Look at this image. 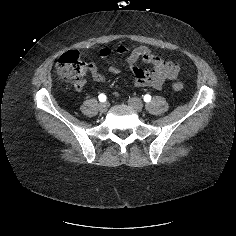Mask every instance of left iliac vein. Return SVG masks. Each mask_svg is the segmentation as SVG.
Masks as SVG:
<instances>
[{"label":"left iliac vein","instance_id":"obj_1","mask_svg":"<svg viewBox=\"0 0 236 236\" xmlns=\"http://www.w3.org/2000/svg\"><path fill=\"white\" fill-rule=\"evenodd\" d=\"M128 104L137 112H141L143 110L142 101L136 97L129 98Z\"/></svg>","mask_w":236,"mask_h":236}]
</instances>
